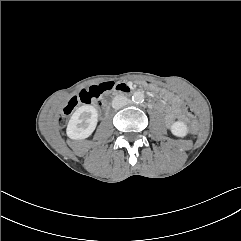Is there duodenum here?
<instances>
[{
	"label": "duodenum",
	"mask_w": 241,
	"mask_h": 241,
	"mask_svg": "<svg viewBox=\"0 0 241 241\" xmlns=\"http://www.w3.org/2000/svg\"><path fill=\"white\" fill-rule=\"evenodd\" d=\"M111 90H113L116 93H127V92L130 91V88L126 84L120 83V84H117L115 86L113 85L111 87Z\"/></svg>",
	"instance_id": "410a0bca"
}]
</instances>
